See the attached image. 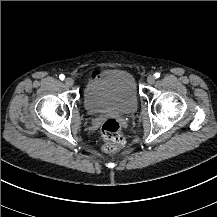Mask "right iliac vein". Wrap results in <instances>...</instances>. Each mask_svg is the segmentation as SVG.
I'll use <instances>...</instances> for the list:
<instances>
[{
	"mask_svg": "<svg viewBox=\"0 0 217 217\" xmlns=\"http://www.w3.org/2000/svg\"><path fill=\"white\" fill-rule=\"evenodd\" d=\"M65 84L70 87L74 84V80L72 78L68 77L65 79Z\"/></svg>",
	"mask_w": 217,
	"mask_h": 217,
	"instance_id": "right-iliac-vein-1",
	"label": "right iliac vein"
}]
</instances>
